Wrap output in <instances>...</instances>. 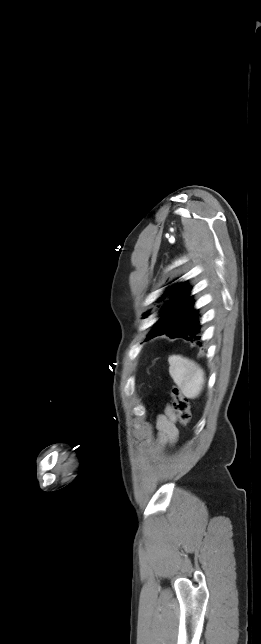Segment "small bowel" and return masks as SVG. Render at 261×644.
I'll return each instance as SVG.
<instances>
[{
  "mask_svg": "<svg viewBox=\"0 0 261 644\" xmlns=\"http://www.w3.org/2000/svg\"><path fill=\"white\" fill-rule=\"evenodd\" d=\"M156 426L158 430L159 447L172 445L176 442L178 438L176 414L171 406H167L164 414L157 417Z\"/></svg>",
  "mask_w": 261,
  "mask_h": 644,
  "instance_id": "obj_1",
  "label": "small bowel"
}]
</instances>
